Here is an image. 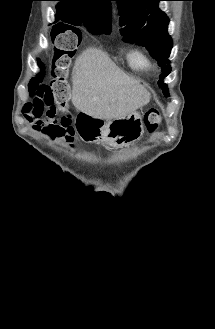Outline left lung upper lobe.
Masks as SVG:
<instances>
[{"label": "left lung upper lobe", "instance_id": "obj_1", "mask_svg": "<svg viewBox=\"0 0 215 329\" xmlns=\"http://www.w3.org/2000/svg\"><path fill=\"white\" fill-rule=\"evenodd\" d=\"M119 2L121 34L124 41L145 46L150 54L158 60L162 74L158 85L164 95L168 96V87L163 79L171 72L168 57L172 49V39L167 29L169 19L158 8L162 0H116Z\"/></svg>", "mask_w": 215, "mask_h": 329}]
</instances>
